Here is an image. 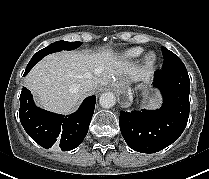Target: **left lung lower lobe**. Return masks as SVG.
Wrapping results in <instances>:
<instances>
[{
    "instance_id": "left-lung-lower-lobe-1",
    "label": "left lung lower lobe",
    "mask_w": 209,
    "mask_h": 179,
    "mask_svg": "<svg viewBox=\"0 0 209 179\" xmlns=\"http://www.w3.org/2000/svg\"><path fill=\"white\" fill-rule=\"evenodd\" d=\"M153 86L163 96L160 109L120 112L119 125L126 143L135 151L155 153L175 142L189 117L190 79L183 67L157 70Z\"/></svg>"
}]
</instances>
